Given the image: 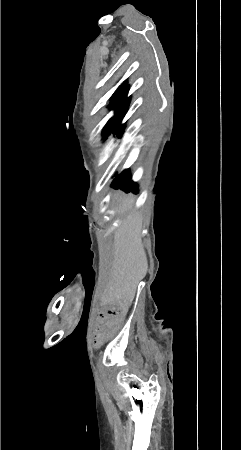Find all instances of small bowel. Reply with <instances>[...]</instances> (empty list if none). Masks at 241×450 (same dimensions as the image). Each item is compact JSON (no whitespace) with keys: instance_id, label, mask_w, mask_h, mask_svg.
Masks as SVG:
<instances>
[{"instance_id":"obj_1","label":"small bowel","mask_w":241,"mask_h":450,"mask_svg":"<svg viewBox=\"0 0 241 450\" xmlns=\"http://www.w3.org/2000/svg\"><path fill=\"white\" fill-rule=\"evenodd\" d=\"M115 307L111 309L104 308L103 310H97L96 311V318L97 319H126L127 317V302L125 300L117 301L113 304ZM95 330L94 333L95 336L92 341V346L97 348L100 346L101 343L104 342V335L108 340H111L113 338V335L116 331L114 329H118L120 327V322L118 320H112V321H105V320H98L95 323Z\"/></svg>"}]
</instances>
